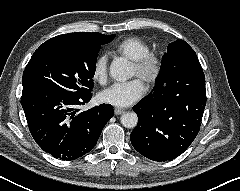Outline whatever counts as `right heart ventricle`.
<instances>
[{"label":"right heart ventricle","mask_w":240,"mask_h":191,"mask_svg":"<svg viewBox=\"0 0 240 191\" xmlns=\"http://www.w3.org/2000/svg\"><path fill=\"white\" fill-rule=\"evenodd\" d=\"M149 44L138 37H127L114 46V51L132 61L138 60L150 52Z\"/></svg>","instance_id":"obj_1"}]
</instances>
